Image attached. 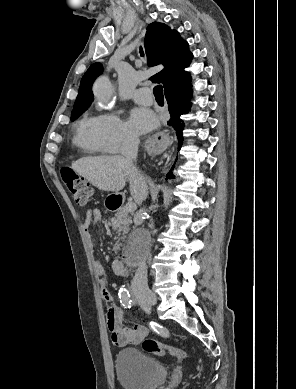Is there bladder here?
<instances>
[{"mask_svg":"<svg viewBox=\"0 0 296 389\" xmlns=\"http://www.w3.org/2000/svg\"><path fill=\"white\" fill-rule=\"evenodd\" d=\"M115 371L124 389H156L168 377L163 364L135 348H125L116 353Z\"/></svg>","mask_w":296,"mask_h":389,"instance_id":"31cf9c89","label":"bladder"}]
</instances>
